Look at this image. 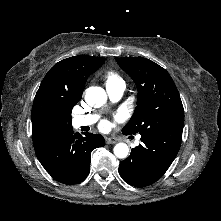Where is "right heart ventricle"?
<instances>
[{"label": "right heart ventricle", "mask_w": 221, "mask_h": 221, "mask_svg": "<svg viewBox=\"0 0 221 221\" xmlns=\"http://www.w3.org/2000/svg\"><path fill=\"white\" fill-rule=\"evenodd\" d=\"M106 86L124 83L123 79L116 72L109 71L105 74Z\"/></svg>", "instance_id": "right-heart-ventricle-1"}]
</instances>
